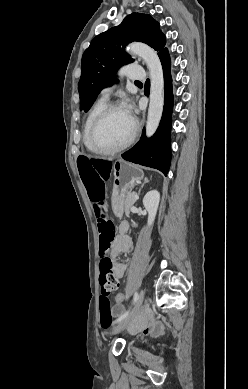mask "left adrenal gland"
I'll return each mask as SVG.
<instances>
[{
    "label": "left adrenal gland",
    "instance_id": "obj_1",
    "mask_svg": "<svg viewBox=\"0 0 248 389\" xmlns=\"http://www.w3.org/2000/svg\"><path fill=\"white\" fill-rule=\"evenodd\" d=\"M149 181H148V179H144V182H143V184L141 185V187L139 188V190H138V194L140 193V191H141V189L144 187V185L146 184V183H148Z\"/></svg>",
    "mask_w": 248,
    "mask_h": 389
}]
</instances>
